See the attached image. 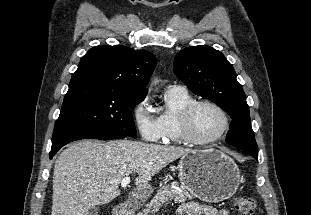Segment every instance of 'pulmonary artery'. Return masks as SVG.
I'll list each match as a JSON object with an SVG mask.
<instances>
[{"mask_svg":"<svg viewBox=\"0 0 311 215\" xmlns=\"http://www.w3.org/2000/svg\"><path fill=\"white\" fill-rule=\"evenodd\" d=\"M169 89L186 90L182 84H172Z\"/></svg>","mask_w":311,"mask_h":215,"instance_id":"pulmonary-artery-1","label":"pulmonary artery"}]
</instances>
